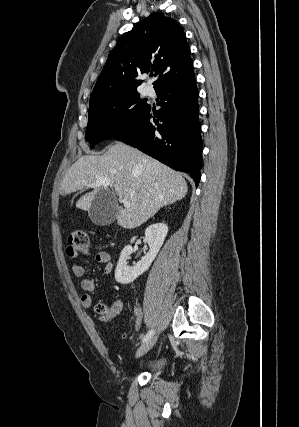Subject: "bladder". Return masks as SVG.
Returning <instances> with one entry per match:
<instances>
[{
    "label": "bladder",
    "mask_w": 299,
    "mask_h": 427,
    "mask_svg": "<svg viewBox=\"0 0 299 427\" xmlns=\"http://www.w3.org/2000/svg\"><path fill=\"white\" fill-rule=\"evenodd\" d=\"M164 363L161 359H155L146 366V371L152 375H161L163 373Z\"/></svg>",
    "instance_id": "obj_1"
}]
</instances>
